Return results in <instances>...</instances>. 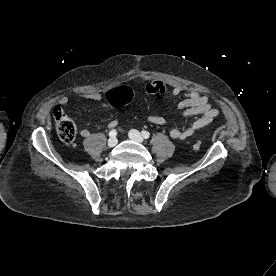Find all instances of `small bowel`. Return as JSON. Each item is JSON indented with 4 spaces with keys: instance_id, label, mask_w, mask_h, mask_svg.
<instances>
[{
    "instance_id": "1",
    "label": "small bowel",
    "mask_w": 276,
    "mask_h": 276,
    "mask_svg": "<svg viewBox=\"0 0 276 276\" xmlns=\"http://www.w3.org/2000/svg\"><path fill=\"white\" fill-rule=\"evenodd\" d=\"M157 82L159 81L153 80L146 85L147 93L155 95L166 92L170 98L176 100L177 113L182 117L189 118L188 122L183 127H175L170 130L169 135L171 138L175 140H185L203 127L212 123L218 116V110L212 105L206 95L195 90H185L181 86H173L167 90L163 84L157 87L155 85ZM79 96L105 103L101 94L97 92H87ZM59 103L61 105H66L68 103V98L62 97ZM147 121L159 126H164L168 123L167 119L160 115H149ZM118 124L119 121L114 119L109 122L108 127L113 129L116 128ZM80 134L82 137L88 138L91 132L88 129H82Z\"/></svg>"
}]
</instances>
